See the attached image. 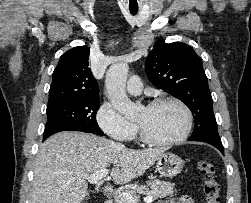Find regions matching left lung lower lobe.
Wrapping results in <instances>:
<instances>
[{
  "instance_id": "1",
  "label": "left lung lower lobe",
  "mask_w": 251,
  "mask_h": 203,
  "mask_svg": "<svg viewBox=\"0 0 251 203\" xmlns=\"http://www.w3.org/2000/svg\"><path fill=\"white\" fill-rule=\"evenodd\" d=\"M189 141H203V142H207L211 145H213L214 147H216L223 155H224V148L222 145L221 140H216V139H194V138H188Z\"/></svg>"
}]
</instances>
